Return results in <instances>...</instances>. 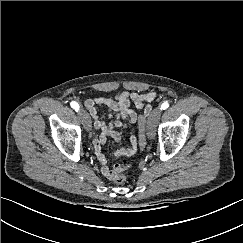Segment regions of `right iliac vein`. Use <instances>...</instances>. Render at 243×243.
<instances>
[{
	"label": "right iliac vein",
	"instance_id": "right-iliac-vein-1",
	"mask_svg": "<svg viewBox=\"0 0 243 243\" xmlns=\"http://www.w3.org/2000/svg\"><path fill=\"white\" fill-rule=\"evenodd\" d=\"M79 117L81 119V122H82L84 128L89 132L91 130L92 124H91V119H90L88 113L84 110H80Z\"/></svg>",
	"mask_w": 243,
	"mask_h": 243
}]
</instances>
